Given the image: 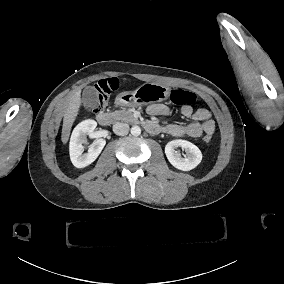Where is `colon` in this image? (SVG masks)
<instances>
[{
  "label": "colon",
  "instance_id": "1",
  "mask_svg": "<svg viewBox=\"0 0 284 284\" xmlns=\"http://www.w3.org/2000/svg\"><path fill=\"white\" fill-rule=\"evenodd\" d=\"M106 88L94 93V100L91 105L96 110H102L105 108L106 97L111 93L115 92L119 88V82L116 78L106 79ZM170 99L173 104L183 108L189 109L194 106L196 97L193 92L186 88L177 87L172 90ZM210 135L204 136V141H210Z\"/></svg>",
  "mask_w": 284,
  "mask_h": 284
}]
</instances>
